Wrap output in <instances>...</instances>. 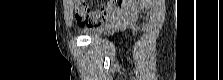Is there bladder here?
<instances>
[{"label": "bladder", "instance_id": "obj_1", "mask_svg": "<svg viewBox=\"0 0 223 80\" xmlns=\"http://www.w3.org/2000/svg\"><path fill=\"white\" fill-rule=\"evenodd\" d=\"M106 28H107V25L101 24V25L93 26L87 29H83L81 32L93 38V37L103 34Z\"/></svg>", "mask_w": 223, "mask_h": 80}]
</instances>
